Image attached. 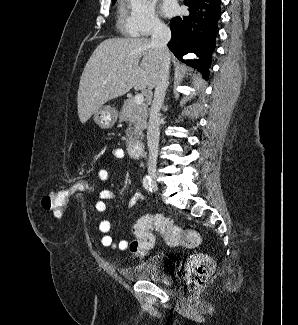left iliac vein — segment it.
<instances>
[{"instance_id":"left-iliac-vein-1","label":"left iliac vein","mask_w":298,"mask_h":325,"mask_svg":"<svg viewBox=\"0 0 298 325\" xmlns=\"http://www.w3.org/2000/svg\"><path fill=\"white\" fill-rule=\"evenodd\" d=\"M153 189L154 190H156L157 189V187H156V185L153 183Z\"/></svg>"}]
</instances>
